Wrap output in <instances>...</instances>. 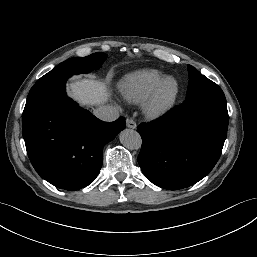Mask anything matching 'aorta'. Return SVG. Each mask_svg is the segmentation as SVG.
<instances>
[{
  "label": "aorta",
  "instance_id": "762f6f07",
  "mask_svg": "<svg viewBox=\"0 0 257 257\" xmlns=\"http://www.w3.org/2000/svg\"><path fill=\"white\" fill-rule=\"evenodd\" d=\"M121 144L131 150L141 147L142 139L139 133L133 129H125L119 134Z\"/></svg>",
  "mask_w": 257,
  "mask_h": 257
}]
</instances>
